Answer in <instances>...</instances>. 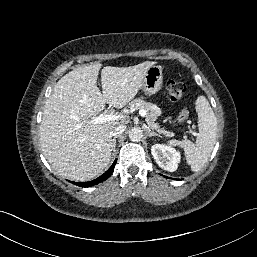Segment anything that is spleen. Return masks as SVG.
I'll return each mask as SVG.
<instances>
[{"instance_id": "3e777b00", "label": "spleen", "mask_w": 257, "mask_h": 257, "mask_svg": "<svg viewBox=\"0 0 257 257\" xmlns=\"http://www.w3.org/2000/svg\"><path fill=\"white\" fill-rule=\"evenodd\" d=\"M199 133L195 144L190 140H171L170 145L184 149L188 164L192 171H199L207 162L214 148L217 136V118L205 96L196 100Z\"/></svg>"}]
</instances>
